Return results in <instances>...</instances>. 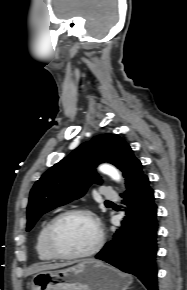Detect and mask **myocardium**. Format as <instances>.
Instances as JSON below:
<instances>
[{"instance_id": "obj_1", "label": "myocardium", "mask_w": 187, "mask_h": 290, "mask_svg": "<svg viewBox=\"0 0 187 290\" xmlns=\"http://www.w3.org/2000/svg\"><path fill=\"white\" fill-rule=\"evenodd\" d=\"M73 215H80L87 217L92 224L95 227L96 230V241L94 245L87 251L82 252V253H65L59 250L55 243V231L58 226V224L65 218ZM104 240V233L103 229L101 227V224L99 220L97 219L96 215L91 212L90 210L83 209V208H74V209H69L66 210L60 214H58L56 217H54L46 231V245L49 250V252L57 259H63V260H74V259H85L89 258L93 255H95L100 248L102 247Z\"/></svg>"}]
</instances>
